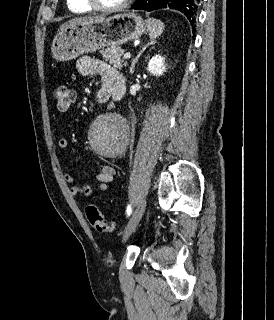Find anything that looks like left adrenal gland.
Instances as JSON below:
<instances>
[{"instance_id": "1", "label": "left adrenal gland", "mask_w": 274, "mask_h": 320, "mask_svg": "<svg viewBox=\"0 0 274 320\" xmlns=\"http://www.w3.org/2000/svg\"><path fill=\"white\" fill-rule=\"evenodd\" d=\"M155 42H150V44H146V46H144V48H142L141 52H139L138 56H136V58H134L129 70H130V74H134V68H135V64H137L140 56H142L143 52H145V50H147V48H149V46H154Z\"/></svg>"}]
</instances>
